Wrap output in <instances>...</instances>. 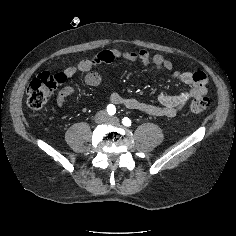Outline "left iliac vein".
<instances>
[{
	"label": "left iliac vein",
	"instance_id": "left-iliac-vein-1",
	"mask_svg": "<svg viewBox=\"0 0 236 236\" xmlns=\"http://www.w3.org/2000/svg\"><path fill=\"white\" fill-rule=\"evenodd\" d=\"M107 121L111 123H119V119L115 116L107 117Z\"/></svg>",
	"mask_w": 236,
	"mask_h": 236
}]
</instances>
